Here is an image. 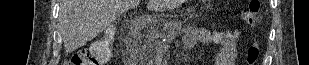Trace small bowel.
Segmentation results:
<instances>
[{
    "label": "small bowel",
    "mask_w": 309,
    "mask_h": 65,
    "mask_svg": "<svg viewBox=\"0 0 309 65\" xmlns=\"http://www.w3.org/2000/svg\"><path fill=\"white\" fill-rule=\"evenodd\" d=\"M216 45L214 65H234L237 57L236 37L227 31H210L202 27H190L184 36V46L191 49L197 44Z\"/></svg>",
    "instance_id": "1"
}]
</instances>
